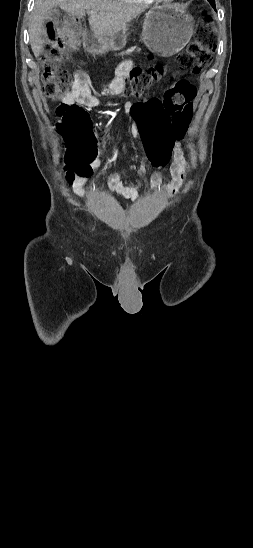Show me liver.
<instances>
[{
	"label": "liver",
	"mask_w": 253,
	"mask_h": 548,
	"mask_svg": "<svg viewBox=\"0 0 253 548\" xmlns=\"http://www.w3.org/2000/svg\"><path fill=\"white\" fill-rule=\"evenodd\" d=\"M55 7H60L78 18H83L85 11H88L90 28L98 37H117L124 34L127 23L144 11L141 6L115 0H36L29 25L30 45L36 57L46 42L44 21Z\"/></svg>",
	"instance_id": "1"
}]
</instances>
